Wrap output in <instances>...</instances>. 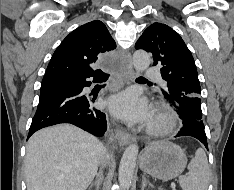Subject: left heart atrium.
<instances>
[{
  "label": "left heart atrium",
  "mask_w": 234,
  "mask_h": 190,
  "mask_svg": "<svg viewBox=\"0 0 234 190\" xmlns=\"http://www.w3.org/2000/svg\"><path fill=\"white\" fill-rule=\"evenodd\" d=\"M108 108L114 115L129 123H147L151 119L147 102L133 90L112 97L108 101Z\"/></svg>",
  "instance_id": "39dd6f15"
}]
</instances>
